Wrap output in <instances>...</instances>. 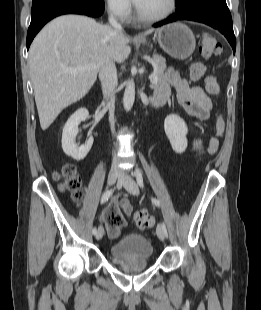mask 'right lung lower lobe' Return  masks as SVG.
<instances>
[{
  "mask_svg": "<svg viewBox=\"0 0 261 310\" xmlns=\"http://www.w3.org/2000/svg\"><path fill=\"white\" fill-rule=\"evenodd\" d=\"M103 0H38L32 3L31 23L27 32V49L39 30L51 19L63 14L100 16Z\"/></svg>",
  "mask_w": 261,
  "mask_h": 310,
  "instance_id": "98d812e1",
  "label": "right lung lower lobe"
}]
</instances>
